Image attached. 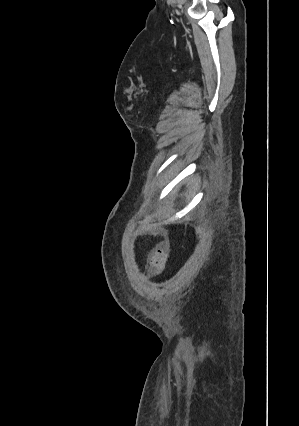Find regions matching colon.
Segmentation results:
<instances>
[{"label": "colon", "mask_w": 299, "mask_h": 426, "mask_svg": "<svg viewBox=\"0 0 299 426\" xmlns=\"http://www.w3.org/2000/svg\"><path fill=\"white\" fill-rule=\"evenodd\" d=\"M150 264L156 273L164 270L166 264V247L164 245L158 246L152 251Z\"/></svg>", "instance_id": "1"}]
</instances>
